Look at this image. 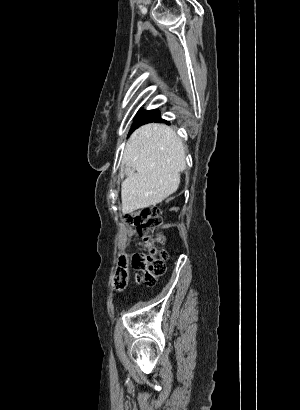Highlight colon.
<instances>
[{"label":"colon","mask_w":300,"mask_h":410,"mask_svg":"<svg viewBox=\"0 0 300 410\" xmlns=\"http://www.w3.org/2000/svg\"><path fill=\"white\" fill-rule=\"evenodd\" d=\"M126 223L136 228L138 235L149 250L148 253L134 254L130 261L126 257L119 260L114 277V288L118 291L126 288L129 282L130 267L139 273V281L153 286L157 278L166 270L167 252L159 247L164 237L157 232L162 225L160 210L156 206L145 207L129 214L126 217Z\"/></svg>","instance_id":"colon-1"}]
</instances>
